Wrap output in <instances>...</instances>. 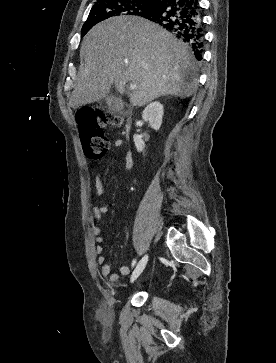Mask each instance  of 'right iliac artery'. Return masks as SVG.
<instances>
[{
	"label": "right iliac artery",
	"instance_id": "1",
	"mask_svg": "<svg viewBox=\"0 0 276 363\" xmlns=\"http://www.w3.org/2000/svg\"><path fill=\"white\" fill-rule=\"evenodd\" d=\"M134 264H135V261H134V263L132 264V266H134ZM143 269H144V266L143 265H141V267L139 268V270H138V275L143 271Z\"/></svg>",
	"mask_w": 276,
	"mask_h": 363
}]
</instances>
